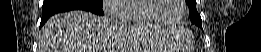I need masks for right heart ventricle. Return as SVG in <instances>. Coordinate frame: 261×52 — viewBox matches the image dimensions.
Returning a JSON list of instances; mask_svg holds the SVG:
<instances>
[{"label":"right heart ventricle","mask_w":261,"mask_h":52,"mask_svg":"<svg viewBox=\"0 0 261 52\" xmlns=\"http://www.w3.org/2000/svg\"><path fill=\"white\" fill-rule=\"evenodd\" d=\"M149 0H129L117 8L123 12V23L126 24H155L158 23L150 10L147 9Z\"/></svg>","instance_id":"right-heart-ventricle-1"}]
</instances>
